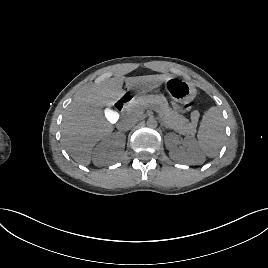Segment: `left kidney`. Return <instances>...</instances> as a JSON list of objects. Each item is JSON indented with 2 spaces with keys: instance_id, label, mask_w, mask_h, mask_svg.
Returning a JSON list of instances; mask_svg holds the SVG:
<instances>
[{
  "instance_id": "left-kidney-1",
  "label": "left kidney",
  "mask_w": 268,
  "mask_h": 268,
  "mask_svg": "<svg viewBox=\"0 0 268 268\" xmlns=\"http://www.w3.org/2000/svg\"><path fill=\"white\" fill-rule=\"evenodd\" d=\"M180 144L183 146H179ZM165 145L173 160L189 165L201 164L205 161V157L193 137L187 136L181 140L175 133H168L165 137Z\"/></svg>"
}]
</instances>
